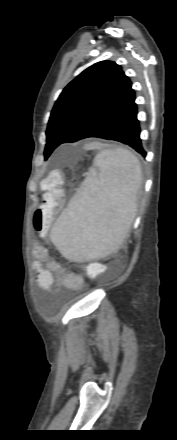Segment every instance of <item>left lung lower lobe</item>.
<instances>
[{
    "instance_id": "obj_1",
    "label": "left lung lower lobe",
    "mask_w": 177,
    "mask_h": 440,
    "mask_svg": "<svg viewBox=\"0 0 177 440\" xmlns=\"http://www.w3.org/2000/svg\"><path fill=\"white\" fill-rule=\"evenodd\" d=\"M140 124L137 119V105L135 96L109 119L86 134L82 139L89 137L114 140L129 145L146 156L140 139Z\"/></svg>"
}]
</instances>
